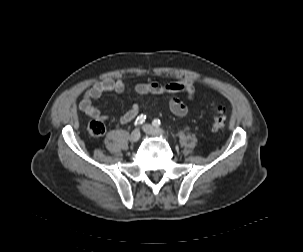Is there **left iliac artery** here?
Returning <instances> with one entry per match:
<instances>
[{"label":"left iliac artery","instance_id":"44dca946","mask_svg":"<svg viewBox=\"0 0 303 252\" xmlns=\"http://www.w3.org/2000/svg\"><path fill=\"white\" fill-rule=\"evenodd\" d=\"M152 124H153L154 126L158 127V126L161 125V122H160L159 119H154V120L152 121Z\"/></svg>","mask_w":303,"mask_h":252}]
</instances>
